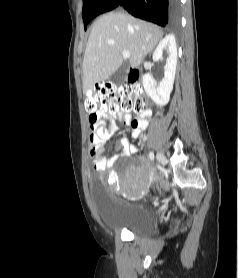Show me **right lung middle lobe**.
<instances>
[{
  "mask_svg": "<svg viewBox=\"0 0 238 278\" xmlns=\"http://www.w3.org/2000/svg\"><path fill=\"white\" fill-rule=\"evenodd\" d=\"M103 0H84L82 16L84 22V28H87V24L93 19V14Z\"/></svg>",
  "mask_w": 238,
  "mask_h": 278,
  "instance_id": "1",
  "label": "right lung middle lobe"
}]
</instances>
